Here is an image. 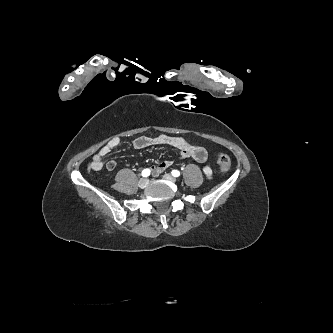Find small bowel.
<instances>
[{"instance_id":"1","label":"small bowel","mask_w":333,"mask_h":333,"mask_svg":"<svg viewBox=\"0 0 333 333\" xmlns=\"http://www.w3.org/2000/svg\"><path fill=\"white\" fill-rule=\"evenodd\" d=\"M120 140L117 137L112 138L104 145L92 158L89 167L94 171H99L104 167V159L119 145ZM133 146L136 149H145L152 146H171L180 151V157L184 160H192L197 163H203L207 159V152L200 145L191 144L186 139L177 136L160 135L157 137L142 136L133 140ZM172 162L163 160L151 167L154 176H158L164 172ZM105 167L108 171H113L116 168V162L109 160ZM203 172L207 178H211L212 170L209 166L203 168Z\"/></svg>"}]
</instances>
